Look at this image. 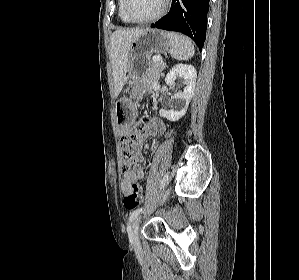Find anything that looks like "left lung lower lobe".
<instances>
[{
  "label": "left lung lower lobe",
  "mask_w": 299,
  "mask_h": 280,
  "mask_svg": "<svg viewBox=\"0 0 299 280\" xmlns=\"http://www.w3.org/2000/svg\"><path fill=\"white\" fill-rule=\"evenodd\" d=\"M209 1L173 0L170 12L151 27L182 32L192 38L201 51L206 38Z\"/></svg>",
  "instance_id": "0a47b994"
}]
</instances>
